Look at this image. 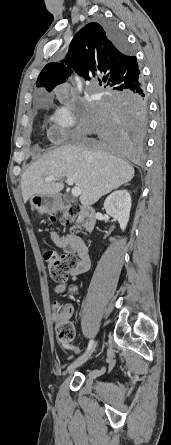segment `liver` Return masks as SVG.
<instances>
[{
  "label": "liver",
  "instance_id": "liver-1",
  "mask_svg": "<svg viewBox=\"0 0 171 445\" xmlns=\"http://www.w3.org/2000/svg\"><path fill=\"white\" fill-rule=\"evenodd\" d=\"M134 173L127 161L107 157L100 146L67 144L48 152L24 172L21 178L23 201L26 203L34 194L56 196L64 188L59 180L67 177L80 188V202L90 206L131 181ZM49 176H54L56 181L45 182Z\"/></svg>",
  "mask_w": 171,
  "mask_h": 445
}]
</instances>
